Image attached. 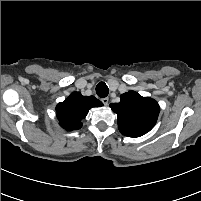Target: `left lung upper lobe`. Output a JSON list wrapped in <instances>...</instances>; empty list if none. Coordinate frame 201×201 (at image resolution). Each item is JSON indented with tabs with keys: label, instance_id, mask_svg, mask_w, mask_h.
<instances>
[{
	"label": "left lung upper lobe",
	"instance_id": "left-lung-upper-lobe-1",
	"mask_svg": "<svg viewBox=\"0 0 201 201\" xmlns=\"http://www.w3.org/2000/svg\"><path fill=\"white\" fill-rule=\"evenodd\" d=\"M119 103L110 104L117 114L119 131L128 137H140L156 124L160 107L150 97H142L135 91L120 96Z\"/></svg>",
	"mask_w": 201,
	"mask_h": 201
}]
</instances>
